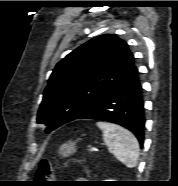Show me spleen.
<instances>
[{
  "label": "spleen",
  "mask_w": 178,
  "mask_h": 186,
  "mask_svg": "<svg viewBox=\"0 0 178 186\" xmlns=\"http://www.w3.org/2000/svg\"><path fill=\"white\" fill-rule=\"evenodd\" d=\"M103 132L104 143L112 150L114 156L126 167L134 168L138 164L139 143L127 129L107 122H97Z\"/></svg>",
  "instance_id": "1"
}]
</instances>
